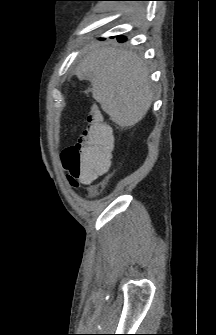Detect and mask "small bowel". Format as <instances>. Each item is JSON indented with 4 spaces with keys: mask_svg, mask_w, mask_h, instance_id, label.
Wrapping results in <instances>:
<instances>
[{
    "mask_svg": "<svg viewBox=\"0 0 216 335\" xmlns=\"http://www.w3.org/2000/svg\"><path fill=\"white\" fill-rule=\"evenodd\" d=\"M97 110L96 108H93L92 111ZM102 174L104 172H101ZM95 178H74L76 185H87L90 184Z\"/></svg>",
    "mask_w": 216,
    "mask_h": 335,
    "instance_id": "c3829d8e",
    "label": "small bowel"
}]
</instances>
